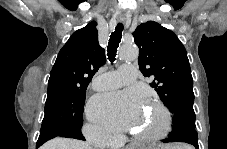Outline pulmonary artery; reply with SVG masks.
<instances>
[{
    "label": "pulmonary artery",
    "instance_id": "e3ab8cb5",
    "mask_svg": "<svg viewBox=\"0 0 227 149\" xmlns=\"http://www.w3.org/2000/svg\"><path fill=\"white\" fill-rule=\"evenodd\" d=\"M136 77L135 65H122L116 71L98 75L93 81L96 90H111L123 85L131 84Z\"/></svg>",
    "mask_w": 227,
    "mask_h": 149
}]
</instances>
